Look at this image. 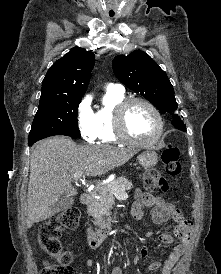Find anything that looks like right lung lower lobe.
<instances>
[{"label":"right lung lower lobe","mask_w":221,"mask_h":274,"mask_svg":"<svg viewBox=\"0 0 221 274\" xmlns=\"http://www.w3.org/2000/svg\"><path fill=\"white\" fill-rule=\"evenodd\" d=\"M34 143H30L29 146H32Z\"/></svg>","instance_id":"1"}]
</instances>
